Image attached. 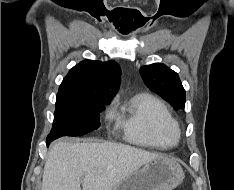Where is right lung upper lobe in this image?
Here are the masks:
<instances>
[{"instance_id":"obj_1","label":"right lung upper lobe","mask_w":234,"mask_h":190,"mask_svg":"<svg viewBox=\"0 0 234 190\" xmlns=\"http://www.w3.org/2000/svg\"><path fill=\"white\" fill-rule=\"evenodd\" d=\"M121 70L114 61L84 60L63 79L58 95L110 102L118 91Z\"/></svg>"}]
</instances>
